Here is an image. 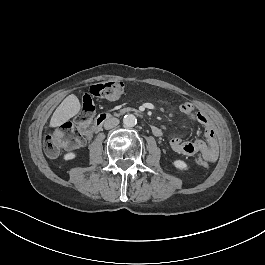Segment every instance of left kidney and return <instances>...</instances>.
Wrapping results in <instances>:
<instances>
[{"label": "left kidney", "instance_id": "5707ae66", "mask_svg": "<svg viewBox=\"0 0 265 265\" xmlns=\"http://www.w3.org/2000/svg\"><path fill=\"white\" fill-rule=\"evenodd\" d=\"M172 164L178 171L181 172H186L189 169L187 162L182 159H176L172 162Z\"/></svg>", "mask_w": 265, "mask_h": 265}]
</instances>
